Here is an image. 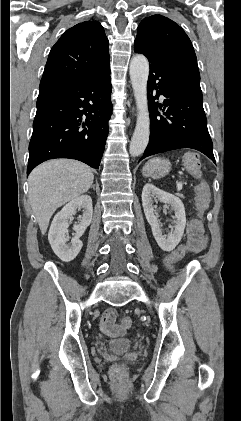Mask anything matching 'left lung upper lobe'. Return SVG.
I'll use <instances>...</instances> for the list:
<instances>
[{"instance_id": "5c2ea615", "label": "left lung upper lobe", "mask_w": 241, "mask_h": 421, "mask_svg": "<svg viewBox=\"0 0 241 421\" xmlns=\"http://www.w3.org/2000/svg\"><path fill=\"white\" fill-rule=\"evenodd\" d=\"M135 44L154 57L198 69L190 39L178 24L162 15H152L141 21Z\"/></svg>"}]
</instances>
